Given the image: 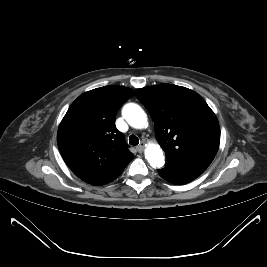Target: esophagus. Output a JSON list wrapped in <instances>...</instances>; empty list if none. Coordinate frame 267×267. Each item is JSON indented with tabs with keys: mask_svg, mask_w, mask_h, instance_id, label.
I'll return each instance as SVG.
<instances>
[{
	"mask_svg": "<svg viewBox=\"0 0 267 267\" xmlns=\"http://www.w3.org/2000/svg\"><path fill=\"white\" fill-rule=\"evenodd\" d=\"M144 147H145V144L144 143H141L138 147H137V150L138 152H142L144 150Z\"/></svg>",
	"mask_w": 267,
	"mask_h": 267,
	"instance_id": "34e87169",
	"label": "esophagus"
}]
</instances>
